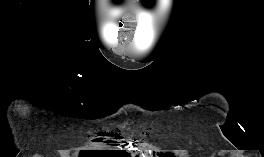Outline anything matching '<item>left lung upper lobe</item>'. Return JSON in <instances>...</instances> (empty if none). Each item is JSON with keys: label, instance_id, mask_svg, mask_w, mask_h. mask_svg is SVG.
Returning <instances> with one entry per match:
<instances>
[{"label": "left lung upper lobe", "instance_id": "left-lung-upper-lobe-1", "mask_svg": "<svg viewBox=\"0 0 264 157\" xmlns=\"http://www.w3.org/2000/svg\"><path fill=\"white\" fill-rule=\"evenodd\" d=\"M161 157H174V156L170 153H165V154L161 155Z\"/></svg>", "mask_w": 264, "mask_h": 157}]
</instances>
